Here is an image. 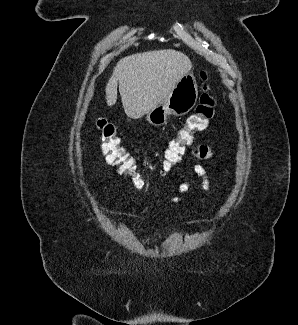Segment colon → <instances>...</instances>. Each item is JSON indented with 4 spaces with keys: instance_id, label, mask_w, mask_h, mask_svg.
Returning a JSON list of instances; mask_svg holds the SVG:
<instances>
[{
    "instance_id": "5ec220e1",
    "label": "colon",
    "mask_w": 298,
    "mask_h": 325,
    "mask_svg": "<svg viewBox=\"0 0 298 325\" xmlns=\"http://www.w3.org/2000/svg\"><path fill=\"white\" fill-rule=\"evenodd\" d=\"M199 77L203 83L199 103L194 113L177 130L175 137L168 142L163 153V174L171 171L179 163L186 148L193 143L195 134L204 131L214 115L215 99L210 93L208 72L201 70ZM96 128L101 140L102 152L106 156V161L115 166L121 174L130 178L137 188H143L145 181L137 170L134 158L122 144L116 126L106 119L100 118L96 121Z\"/></svg>"
}]
</instances>
